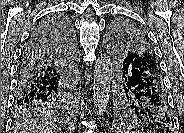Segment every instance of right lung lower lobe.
<instances>
[{
  "instance_id": "98d812e1",
  "label": "right lung lower lobe",
  "mask_w": 184,
  "mask_h": 133,
  "mask_svg": "<svg viewBox=\"0 0 184 133\" xmlns=\"http://www.w3.org/2000/svg\"><path fill=\"white\" fill-rule=\"evenodd\" d=\"M71 27L63 16L53 15L34 29L22 52L15 104H42L67 93L75 43Z\"/></svg>"
}]
</instances>
